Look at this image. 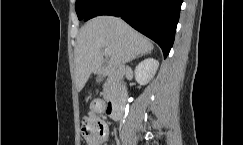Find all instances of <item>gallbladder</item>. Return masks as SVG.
I'll return each instance as SVG.
<instances>
[{
    "mask_svg": "<svg viewBox=\"0 0 243 145\" xmlns=\"http://www.w3.org/2000/svg\"><path fill=\"white\" fill-rule=\"evenodd\" d=\"M103 76L102 75H98L97 78H96V81L97 82H100L102 80Z\"/></svg>",
    "mask_w": 243,
    "mask_h": 145,
    "instance_id": "gallbladder-1",
    "label": "gallbladder"
}]
</instances>
